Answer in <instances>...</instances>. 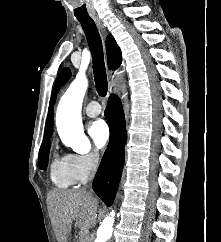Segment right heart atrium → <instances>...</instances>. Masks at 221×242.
I'll return each mask as SVG.
<instances>
[{
  "mask_svg": "<svg viewBox=\"0 0 221 242\" xmlns=\"http://www.w3.org/2000/svg\"><path fill=\"white\" fill-rule=\"evenodd\" d=\"M67 161L75 181H83L97 171L99 154L96 151L69 154Z\"/></svg>",
  "mask_w": 221,
  "mask_h": 242,
  "instance_id": "right-heart-atrium-1",
  "label": "right heart atrium"
}]
</instances>
